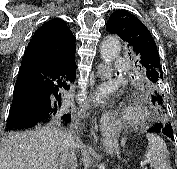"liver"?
<instances>
[{"label": "liver", "instance_id": "liver-1", "mask_svg": "<svg viewBox=\"0 0 177 169\" xmlns=\"http://www.w3.org/2000/svg\"><path fill=\"white\" fill-rule=\"evenodd\" d=\"M59 128L14 133L0 149V169H58Z\"/></svg>", "mask_w": 177, "mask_h": 169}]
</instances>
